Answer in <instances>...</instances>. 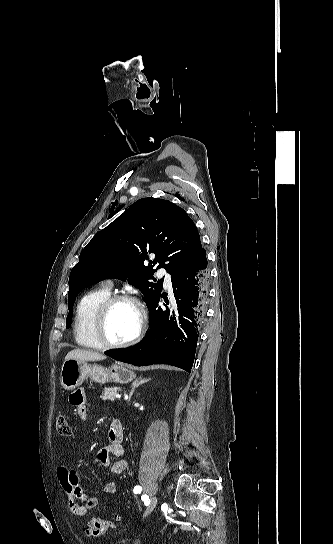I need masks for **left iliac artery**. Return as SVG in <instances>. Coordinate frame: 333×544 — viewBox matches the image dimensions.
<instances>
[{
  "label": "left iliac artery",
  "mask_w": 333,
  "mask_h": 544,
  "mask_svg": "<svg viewBox=\"0 0 333 544\" xmlns=\"http://www.w3.org/2000/svg\"><path fill=\"white\" fill-rule=\"evenodd\" d=\"M141 491H142V487H141V486H135V487H134L133 492H134L135 494H140Z\"/></svg>",
  "instance_id": "1"
}]
</instances>
